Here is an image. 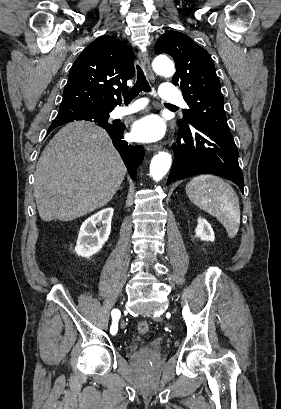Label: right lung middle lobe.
<instances>
[{"label": "right lung middle lobe", "instance_id": "obj_1", "mask_svg": "<svg viewBox=\"0 0 281 409\" xmlns=\"http://www.w3.org/2000/svg\"><path fill=\"white\" fill-rule=\"evenodd\" d=\"M108 117H109V114L106 113L105 116H104V118L107 119ZM73 120H88V121H94V122L99 121V120L84 119V118L56 117V118L54 119V121L52 122V124H51L49 130H52V129H54V128L57 127V126L66 124V123L71 122V121H73Z\"/></svg>", "mask_w": 281, "mask_h": 409}]
</instances>
